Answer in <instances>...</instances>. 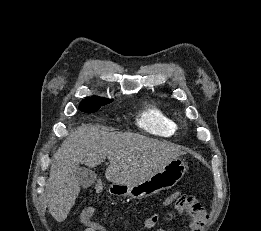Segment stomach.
I'll use <instances>...</instances> for the list:
<instances>
[{"mask_svg":"<svg viewBox=\"0 0 261 231\" xmlns=\"http://www.w3.org/2000/svg\"><path fill=\"white\" fill-rule=\"evenodd\" d=\"M186 165L184 160L176 158L164 168L142 182L134 184H113L109 191L119 196H129L134 199H142L152 196L161 190L175 186L184 176Z\"/></svg>","mask_w":261,"mask_h":231,"instance_id":"0dacf381","label":"stomach"}]
</instances>
